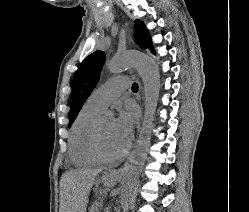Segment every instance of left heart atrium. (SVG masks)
<instances>
[{"label":"left heart atrium","instance_id":"left-heart-atrium-1","mask_svg":"<svg viewBox=\"0 0 249 212\" xmlns=\"http://www.w3.org/2000/svg\"><path fill=\"white\" fill-rule=\"evenodd\" d=\"M135 112L132 108L121 112L114 121V140L121 152L127 150L130 146Z\"/></svg>","mask_w":249,"mask_h":212}]
</instances>
